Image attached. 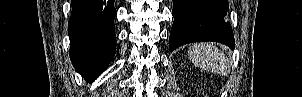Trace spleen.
<instances>
[{"mask_svg": "<svg viewBox=\"0 0 302 97\" xmlns=\"http://www.w3.org/2000/svg\"><path fill=\"white\" fill-rule=\"evenodd\" d=\"M189 59L200 69L228 75L230 62L217 46L212 43L192 44L188 49Z\"/></svg>", "mask_w": 302, "mask_h": 97, "instance_id": "spleen-1", "label": "spleen"}]
</instances>
